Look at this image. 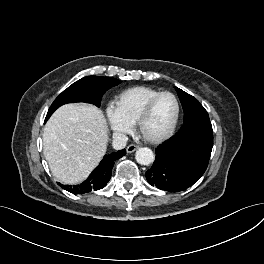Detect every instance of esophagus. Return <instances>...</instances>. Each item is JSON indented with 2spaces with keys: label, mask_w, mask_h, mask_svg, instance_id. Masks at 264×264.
Here are the masks:
<instances>
[{
  "label": "esophagus",
  "mask_w": 264,
  "mask_h": 264,
  "mask_svg": "<svg viewBox=\"0 0 264 264\" xmlns=\"http://www.w3.org/2000/svg\"><path fill=\"white\" fill-rule=\"evenodd\" d=\"M138 148H139L138 145L130 144L127 146L126 151H127V153H132V152L136 151Z\"/></svg>",
  "instance_id": "1"
}]
</instances>
